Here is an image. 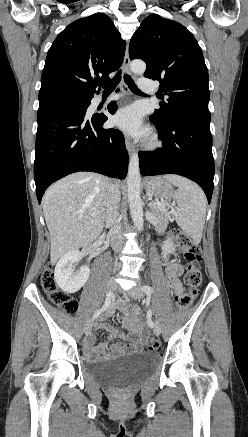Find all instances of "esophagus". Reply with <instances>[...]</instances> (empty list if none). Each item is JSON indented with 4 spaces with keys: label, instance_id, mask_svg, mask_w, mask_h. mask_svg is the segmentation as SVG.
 <instances>
[{
    "label": "esophagus",
    "instance_id": "1",
    "mask_svg": "<svg viewBox=\"0 0 248 437\" xmlns=\"http://www.w3.org/2000/svg\"><path fill=\"white\" fill-rule=\"evenodd\" d=\"M123 69L127 75H129V76L131 75L128 46L126 47V51H125ZM122 88L126 94H129L128 86L124 81L122 82ZM125 145H126V149H127L129 154L134 153L135 149H134L133 143L131 142V140L128 137H125Z\"/></svg>",
    "mask_w": 248,
    "mask_h": 437
}]
</instances>
